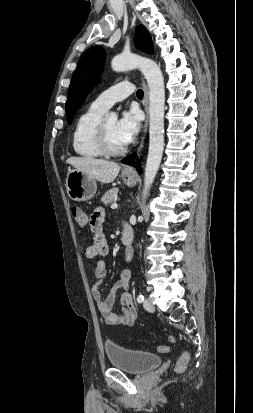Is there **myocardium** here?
I'll return each instance as SVG.
<instances>
[{"label": "myocardium", "mask_w": 253, "mask_h": 413, "mask_svg": "<svg viewBox=\"0 0 253 413\" xmlns=\"http://www.w3.org/2000/svg\"><path fill=\"white\" fill-rule=\"evenodd\" d=\"M105 119H101L96 128H95V142L98 149L101 151L103 155L107 156H118L122 155L126 152V146H122L120 148H113L107 139L105 127H104Z\"/></svg>", "instance_id": "obj_1"}]
</instances>
